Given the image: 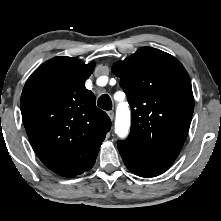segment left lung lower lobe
<instances>
[{"label":"left lung lower lobe","mask_w":221,"mask_h":221,"mask_svg":"<svg viewBox=\"0 0 221 221\" xmlns=\"http://www.w3.org/2000/svg\"><path fill=\"white\" fill-rule=\"evenodd\" d=\"M120 155L127 168L141 177H155L165 172L174 162L149 156L125 141H118Z\"/></svg>","instance_id":"obj_1"}]
</instances>
